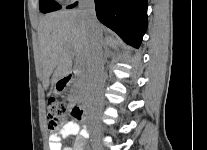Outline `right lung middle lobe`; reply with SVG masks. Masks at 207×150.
Instances as JSON below:
<instances>
[{"label":"right lung middle lobe","mask_w":207,"mask_h":150,"mask_svg":"<svg viewBox=\"0 0 207 150\" xmlns=\"http://www.w3.org/2000/svg\"><path fill=\"white\" fill-rule=\"evenodd\" d=\"M61 8V5L53 0H40V11L42 13H47L55 11Z\"/></svg>","instance_id":"1"}]
</instances>
